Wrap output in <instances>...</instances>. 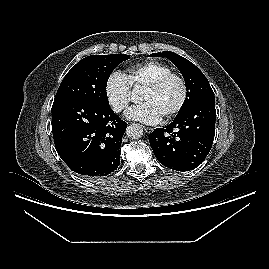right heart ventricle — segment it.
<instances>
[{"mask_svg":"<svg viewBox=\"0 0 269 269\" xmlns=\"http://www.w3.org/2000/svg\"><path fill=\"white\" fill-rule=\"evenodd\" d=\"M172 72V68L163 62L149 60L130 67L127 80L131 86L146 87L160 76Z\"/></svg>","mask_w":269,"mask_h":269,"instance_id":"right-heart-ventricle-1","label":"right heart ventricle"}]
</instances>
